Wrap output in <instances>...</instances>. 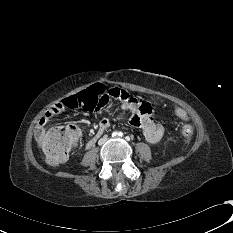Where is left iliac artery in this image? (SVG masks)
<instances>
[{
  "label": "left iliac artery",
  "instance_id": "obj_1",
  "mask_svg": "<svg viewBox=\"0 0 233 233\" xmlns=\"http://www.w3.org/2000/svg\"><path fill=\"white\" fill-rule=\"evenodd\" d=\"M118 136L122 137V136H123V133H122V132H119V133H118Z\"/></svg>",
  "mask_w": 233,
  "mask_h": 233
}]
</instances>
